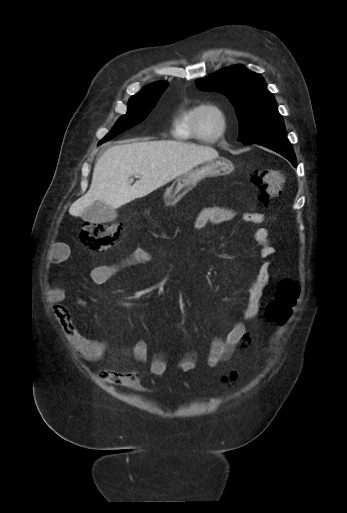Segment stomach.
<instances>
[{"label": "stomach", "instance_id": "stomach-1", "mask_svg": "<svg viewBox=\"0 0 347 513\" xmlns=\"http://www.w3.org/2000/svg\"><path fill=\"white\" fill-rule=\"evenodd\" d=\"M233 169V164L226 158H218L205 162L201 167L189 170L179 175L164 194L167 205L175 204L184 194L194 188L199 181L206 177L226 175Z\"/></svg>", "mask_w": 347, "mask_h": 513}]
</instances>
